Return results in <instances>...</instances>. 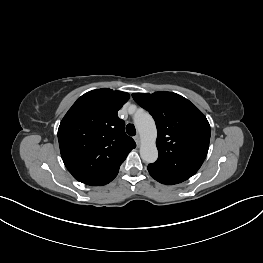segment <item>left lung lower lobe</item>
<instances>
[{"mask_svg":"<svg viewBox=\"0 0 263 263\" xmlns=\"http://www.w3.org/2000/svg\"><path fill=\"white\" fill-rule=\"evenodd\" d=\"M148 171H149L150 175L155 180H157L158 182H160L162 184L172 185V184H177V183H180V182L184 181L182 179L165 176V175H163V174L151 169L150 167H148Z\"/></svg>","mask_w":263,"mask_h":263,"instance_id":"left-lung-lower-lobe-1","label":"left lung lower lobe"}]
</instances>
